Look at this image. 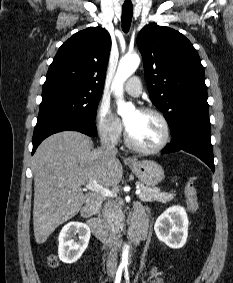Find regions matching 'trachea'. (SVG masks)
Masks as SVG:
<instances>
[{
	"label": "trachea",
	"instance_id": "1",
	"mask_svg": "<svg viewBox=\"0 0 233 283\" xmlns=\"http://www.w3.org/2000/svg\"><path fill=\"white\" fill-rule=\"evenodd\" d=\"M133 7H122V30L128 33L132 21Z\"/></svg>",
	"mask_w": 233,
	"mask_h": 283
}]
</instances>
